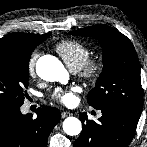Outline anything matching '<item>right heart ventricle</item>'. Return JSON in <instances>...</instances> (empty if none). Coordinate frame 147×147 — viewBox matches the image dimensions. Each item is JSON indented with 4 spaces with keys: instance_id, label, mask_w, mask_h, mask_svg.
<instances>
[{
    "instance_id": "obj_1",
    "label": "right heart ventricle",
    "mask_w": 147,
    "mask_h": 147,
    "mask_svg": "<svg viewBox=\"0 0 147 147\" xmlns=\"http://www.w3.org/2000/svg\"><path fill=\"white\" fill-rule=\"evenodd\" d=\"M71 70H79L90 56V48L78 40H63L55 47Z\"/></svg>"
}]
</instances>
